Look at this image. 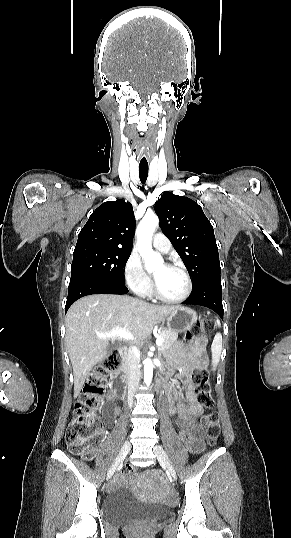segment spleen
<instances>
[{"label": "spleen", "instance_id": "1", "mask_svg": "<svg viewBox=\"0 0 291 538\" xmlns=\"http://www.w3.org/2000/svg\"><path fill=\"white\" fill-rule=\"evenodd\" d=\"M217 324H219V321H217ZM221 352H222V335L221 333H217L215 334L212 345H211L212 366L214 370L216 369L218 362L220 360Z\"/></svg>", "mask_w": 291, "mask_h": 538}]
</instances>
